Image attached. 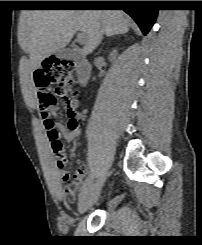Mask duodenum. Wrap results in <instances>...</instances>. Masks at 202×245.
I'll return each mask as SVG.
<instances>
[{
	"label": "duodenum",
	"mask_w": 202,
	"mask_h": 245,
	"mask_svg": "<svg viewBox=\"0 0 202 245\" xmlns=\"http://www.w3.org/2000/svg\"><path fill=\"white\" fill-rule=\"evenodd\" d=\"M76 70H77V80L79 84L84 85L88 82L91 67L87 60L84 58H77L76 59Z\"/></svg>",
	"instance_id": "410a0bca"
}]
</instances>
